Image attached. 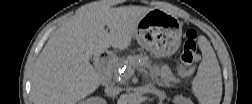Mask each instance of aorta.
Wrapping results in <instances>:
<instances>
[{"label":"aorta","instance_id":"762f6f07","mask_svg":"<svg viewBox=\"0 0 252 104\" xmlns=\"http://www.w3.org/2000/svg\"><path fill=\"white\" fill-rule=\"evenodd\" d=\"M127 102L129 104H139L141 102V95L138 93H131L127 96Z\"/></svg>","mask_w":252,"mask_h":104}]
</instances>
